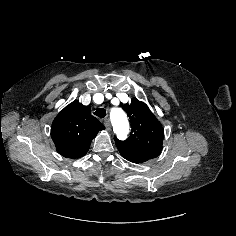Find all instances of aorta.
<instances>
[{"instance_id":"aorta-1","label":"aorta","mask_w":236,"mask_h":236,"mask_svg":"<svg viewBox=\"0 0 236 236\" xmlns=\"http://www.w3.org/2000/svg\"><path fill=\"white\" fill-rule=\"evenodd\" d=\"M110 118L116 135L121 139H125L129 132V122L125 112L120 108H113Z\"/></svg>"}]
</instances>
